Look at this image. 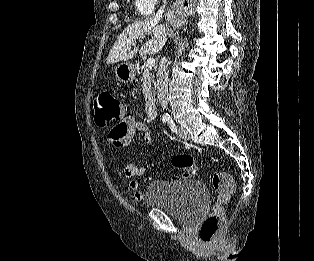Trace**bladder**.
<instances>
[{
  "instance_id": "bladder-1",
  "label": "bladder",
  "mask_w": 314,
  "mask_h": 261,
  "mask_svg": "<svg viewBox=\"0 0 314 261\" xmlns=\"http://www.w3.org/2000/svg\"><path fill=\"white\" fill-rule=\"evenodd\" d=\"M145 202L192 226L208 207V189L198 180L154 181L147 188Z\"/></svg>"
}]
</instances>
